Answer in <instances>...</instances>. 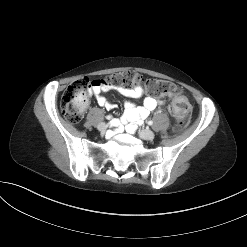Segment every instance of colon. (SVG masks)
<instances>
[{"mask_svg": "<svg viewBox=\"0 0 247 247\" xmlns=\"http://www.w3.org/2000/svg\"><path fill=\"white\" fill-rule=\"evenodd\" d=\"M103 83L111 87H131L143 82L146 91L154 96H174L172 111L175 115V128L180 129L189 113L188 99L180 97L181 90L174 83L164 79H142L136 72L127 70L107 76L103 80L82 78L71 83L61 99V110L64 117L71 123H78L88 104V93L95 83Z\"/></svg>", "mask_w": 247, "mask_h": 247, "instance_id": "5ec220e1", "label": "colon"}]
</instances>
